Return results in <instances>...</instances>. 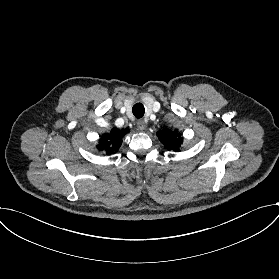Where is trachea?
I'll list each match as a JSON object with an SVG mask.
<instances>
[{
  "instance_id": "1",
  "label": "trachea",
  "mask_w": 279,
  "mask_h": 279,
  "mask_svg": "<svg viewBox=\"0 0 279 279\" xmlns=\"http://www.w3.org/2000/svg\"><path fill=\"white\" fill-rule=\"evenodd\" d=\"M132 112L136 118H141L145 112L144 106L141 103H136L132 108Z\"/></svg>"
}]
</instances>
